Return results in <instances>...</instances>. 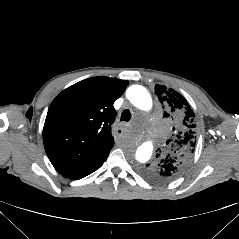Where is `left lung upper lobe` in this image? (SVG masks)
Wrapping results in <instances>:
<instances>
[{"label": "left lung upper lobe", "instance_id": "1", "mask_svg": "<svg viewBox=\"0 0 239 239\" xmlns=\"http://www.w3.org/2000/svg\"><path fill=\"white\" fill-rule=\"evenodd\" d=\"M164 117L172 120L174 133L166 141L164 150L156 155L155 162L146 164L142 174L158 183L178 178L189 166L196 148L195 114L187 100L172 88L156 85Z\"/></svg>", "mask_w": 239, "mask_h": 239}]
</instances>
